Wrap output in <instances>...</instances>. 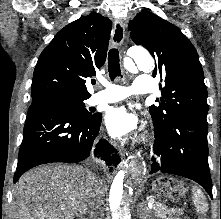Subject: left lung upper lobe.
I'll return each instance as SVG.
<instances>
[{
  "mask_svg": "<svg viewBox=\"0 0 221 219\" xmlns=\"http://www.w3.org/2000/svg\"><path fill=\"white\" fill-rule=\"evenodd\" d=\"M129 30L135 44L145 47L156 59L153 77L160 75L165 81L159 106L150 107L154 127L164 128L180 116L207 124L204 73L188 38L175 25L149 11L138 13L130 21Z\"/></svg>",
  "mask_w": 221,
  "mask_h": 219,
  "instance_id": "left-lung-upper-lobe-1",
  "label": "left lung upper lobe"
}]
</instances>
